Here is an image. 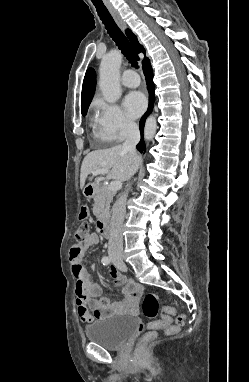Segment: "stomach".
Wrapping results in <instances>:
<instances>
[{
  "label": "stomach",
  "instance_id": "obj_1",
  "mask_svg": "<svg viewBox=\"0 0 249 382\" xmlns=\"http://www.w3.org/2000/svg\"><path fill=\"white\" fill-rule=\"evenodd\" d=\"M83 194L87 198H92L94 196V194H95V186L93 185L92 181H89L86 184V187L83 190Z\"/></svg>",
  "mask_w": 249,
  "mask_h": 382
}]
</instances>
